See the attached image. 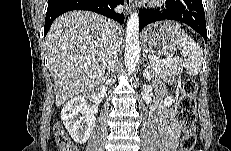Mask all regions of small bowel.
<instances>
[{
  "label": "small bowel",
  "mask_w": 231,
  "mask_h": 151,
  "mask_svg": "<svg viewBox=\"0 0 231 151\" xmlns=\"http://www.w3.org/2000/svg\"><path fill=\"white\" fill-rule=\"evenodd\" d=\"M159 95V100L152 106L151 116L157 126L165 151H176L181 125L176 118L175 110L164 103V99L169 95L165 86L159 89Z\"/></svg>",
  "instance_id": "c3829d8e"
}]
</instances>
